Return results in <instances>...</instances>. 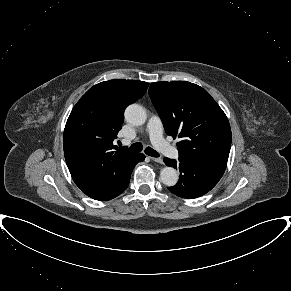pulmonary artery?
Here are the masks:
<instances>
[{
    "label": "pulmonary artery",
    "mask_w": 291,
    "mask_h": 291,
    "mask_svg": "<svg viewBox=\"0 0 291 291\" xmlns=\"http://www.w3.org/2000/svg\"><path fill=\"white\" fill-rule=\"evenodd\" d=\"M147 131L152 144L161 154L169 158H177L179 156L178 150L164 139L162 122L158 116L153 115L149 118Z\"/></svg>",
    "instance_id": "1"
}]
</instances>
